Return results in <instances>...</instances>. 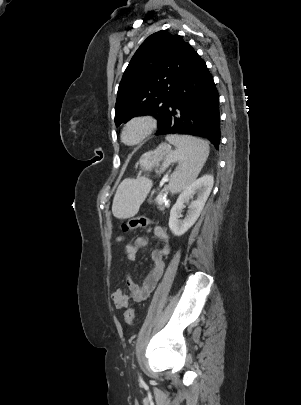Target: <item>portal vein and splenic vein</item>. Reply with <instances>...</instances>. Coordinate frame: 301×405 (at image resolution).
<instances>
[{"mask_svg":"<svg viewBox=\"0 0 301 405\" xmlns=\"http://www.w3.org/2000/svg\"><path fill=\"white\" fill-rule=\"evenodd\" d=\"M165 180H163V182H164ZM156 201L157 202H160V203H163L164 201H165V198L162 196V195H158L157 197H156Z\"/></svg>","mask_w":301,"mask_h":405,"instance_id":"portal-vein-and-splenic-vein-1","label":"portal vein and splenic vein"}]
</instances>
